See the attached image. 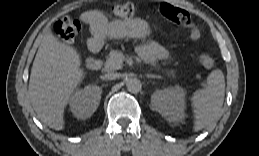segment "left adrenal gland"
<instances>
[{
	"label": "left adrenal gland",
	"instance_id": "left-adrenal-gland-1",
	"mask_svg": "<svg viewBox=\"0 0 259 156\" xmlns=\"http://www.w3.org/2000/svg\"><path fill=\"white\" fill-rule=\"evenodd\" d=\"M146 77H147V78H157V79H161V76L155 75V74H147Z\"/></svg>",
	"mask_w": 259,
	"mask_h": 156
}]
</instances>
